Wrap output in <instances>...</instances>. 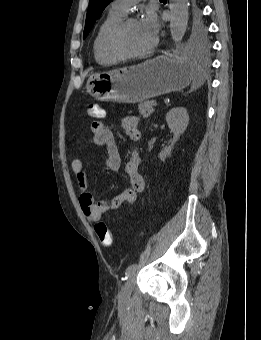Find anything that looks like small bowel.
I'll return each mask as SVG.
<instances>
[{
    "label": "small bowel",
    "instance_id": "c3829d8e",
    "mask_svg": "<svg viewBox=\"0 0 261 340\" xmlns=\"http://www.w3.org/2000/svg\"><path fill=\"white\" fill-rule=\"evenodd\" d=\"M121 125L132 141L136 142L140 139L138 119L136 117H123ZM91 130L93 143L103 147L106 151V166L112 171L119 170L121 158L113 131L101 120L93 122ZM71 168L80 191L79 203L82 211L93 222L99 221L109 211L120 209L123 206L128 209L136 201L138 194L143 191L145 186L144 179L140 173V157L137 150H133L131 157L125 164V172L129 176L130 187L114 197L110 202L105 200L95 201L93 194L88 190V176L79 158L73 159Z\"/></svg>",
    "mask_w": 261,
    "mask_h": 340
}]
</instances>
